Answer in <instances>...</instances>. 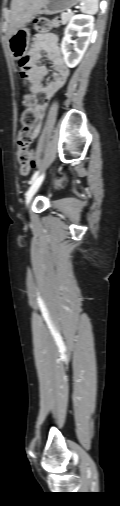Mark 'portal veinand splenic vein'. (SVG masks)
Here are the masks:
<instances>
[{
	"label": "portal vein and splenic vein",
	"mask_w": 120,
	"mask_h": 506,
	"mask_svg": "<svg viewBox=\"0 0 120 506\" xmlns=\"http://www.w3.org/2000/svg\"><path fill=\"white\" fill-rule=\"evenodd\" d=\"M68 13H72V11H68Z\"/></svg>",
	"instance_id": "portal-vein-and-splenic-vein-1"
}]
</instances>
